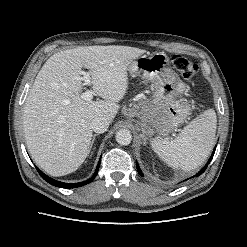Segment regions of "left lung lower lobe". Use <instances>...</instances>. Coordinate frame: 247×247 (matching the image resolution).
<instances>
[{
  "instance_id": "1",
  "label": "left lung lower lobe",
  "mask_w": 247,
  "mask_h": 247,
  "mask_svg": "<svg viewBox=\"0 0 247 247\" xmlns=\"http://www.w3.org/2000/svg\"><path fill=\"white\" fill-rule=\"evenodd\" d=\"M215 150H216V147L214 148L213 153H212L210 159L208 160V163L201 169V171H200L196 176L202 174V173L206 170L208 164L211 162V160H212V158H213V155H214V153H215ZM136 166H137L138 173H139L141 176H143L142 171H141V169H140L138 163H136Z\"/></svg>"
}]
</instances>
